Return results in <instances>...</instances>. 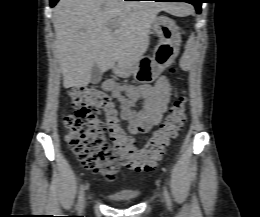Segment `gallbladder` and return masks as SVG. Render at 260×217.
Instances as JSON below:
<instances>
[{"instance_id":"bac80fb5","label":"gallbladder","mask_w":260,"mask_h":217,"mask_svg":"<svg viewBox=\"0 0 260 217\" xmlns=\"http://www.w3.org/2000/svg\"><path fill=\"white\" fill-rule=\"evenodd\" d=\"M102 79V72L100 68L94 64L91 68V76H90V83L97 84Z\"/></svg>"}]
</instances>
